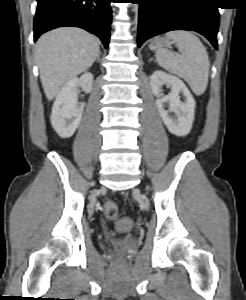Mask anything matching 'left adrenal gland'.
Instances as JSON below:
<instances>
[{"instance_id":"1","label":"left adrenal gland","mask_w":246,"mask_h":300,"mask_svg":"<svg viewBox=\"0 0 246 300\" xmlns=\"http://www.w3.org/2000/svg\"><path fill=\"white\" fill-rule=\"evenodd\" d=\"M149 61H153V58H151Z\"/></svg>"}]
</instances>
